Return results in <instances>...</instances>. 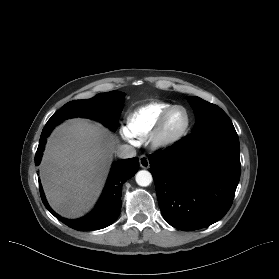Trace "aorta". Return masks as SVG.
I'll use <instances>...</instances> for the list:
<instances>
[{
    "label": "aorta",
    "instance_id": "obj_1",
    "mask_svg": "<svg viewBox=\"0 0 279 279\" xmlns=\"http://www.w3.org/2000/svg\"><path fill=\"white\" fill-rule=\"evenodd\" d=\"M135 180L139 186L146 187L151 184L153 178L149 171L140 170L136 173Z\"/></svg>",
    "mask_w": 279,
    "mask_h": 279
}]
</instances>
